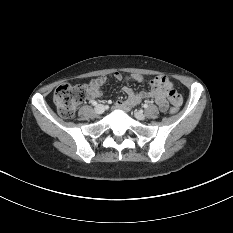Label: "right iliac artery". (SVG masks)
<instances>
[{"instance_id": "right-iliac-artery-1", "label": "right iliac artery", "mask_w": 233, "mask_h": 233, "mask_svg": "<svg viewBox=\"0 0 233 233\" xmlns=\"http://www.w3.org/2000/svg\"><path fill=\"white\" fill-rule=\"evenodd\" d=\"M92 105H97V102H96V101H93V102H92Z\"/></svg>"}]
</instances>
